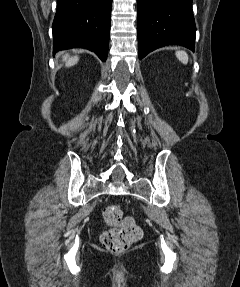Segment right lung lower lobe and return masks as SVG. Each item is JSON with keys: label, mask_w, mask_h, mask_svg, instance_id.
<instances>
[{"label": "right lung lower lobe", "mask_w": 240, "mask_h": 287, "mask_svg": "<svg viewBox=\"0 0 240 287\" xmlns=\"http://www.w3.org/2000/svg\"><path fill=\"white\" fill-rule=\"evenodd\" d=\"M112 0H57L53 53L86 48L105 61L108 55Z\"/></svg>", "instance_id": "right-lung-lower-lobe-1"}]
</instances>
